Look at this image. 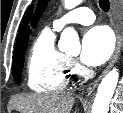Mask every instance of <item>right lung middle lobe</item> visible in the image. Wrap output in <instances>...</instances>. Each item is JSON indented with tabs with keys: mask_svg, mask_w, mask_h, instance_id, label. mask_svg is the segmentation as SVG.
Listing matches in <instances>:
<instances>
[{
	"mask_svg": "<svg viewBox=\"0 0 123 113\" xmlns=\"http://www.w3.org/2000/svg\"><path fill=\"white\" fill-rule=\"evenodd\" d=\"M27 44L14 50L13 54V64H12V74L15 81L19 84L21 82V75L24 63V55L26 51Z\"/></svg>",
	"mask_w": 123,
	"mask_h": 113,
	"instance_id": "obj_1",
	"label": "right lung middle lobe"
}]
</instances>
